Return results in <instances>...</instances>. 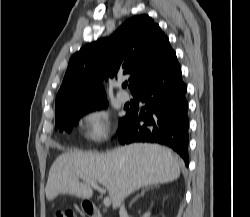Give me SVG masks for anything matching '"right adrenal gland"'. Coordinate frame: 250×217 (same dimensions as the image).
I'll return each mask as SVG.
<instances>
[{"label": "right adrenal gland", "mask_w": 250, "mask_h": 217, "mask_svg": "<svg viewBox=\"0 0 250 217\" xmlns=\"http://www.w3.org/2000/svg\"><path fill=\"white\" fill-rule=\"evenodd\" d=\"M147 188H148V187H147ZM147 188H146V189H147ZM146 189H143V190L141 191V194H138V195L131 201L129 207H131L132 204H133V202H135L140 196H143V195H144V192H145Z\"/></svg>", "instance_id": "obj_1"}]
</instances>
